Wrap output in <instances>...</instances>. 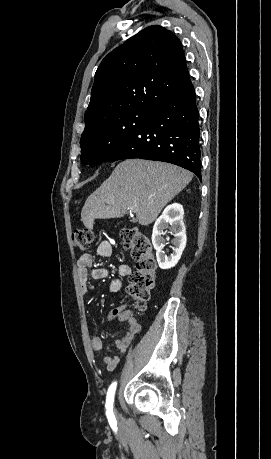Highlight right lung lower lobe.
<instances>
[{
    "label": "right lung lower lobe",
    "mask_w": 271,
    "mask_h": 459,
    "mask_svg": "<svg viewBox=\"0 0 271 459\" xmlns=\"http://www.w3.org/2000/svg\"><path fill=\"white\" fill-rule=\"evenodd\" d=\"M130 158L176 164L201 180L199 111L191 81L162 100L105 162Z\"/></svg>",
    "instance_id": "right-lung-lower-lobe-1"
}]
</instances>
